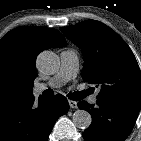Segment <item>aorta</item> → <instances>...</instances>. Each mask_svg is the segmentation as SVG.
Listing matches in <instances>:
<instances>
[{
	"mask_svg": "<svg viewBox=\"0 0 141 141\" xmlns=\"http://www.w3.org/2000/svg\"><path fill=\"white\" fill-rule=\"evenodd\" d=\"M36 64L38 69L46 74L55 73L60 66L59 57L49 50L43 51L38 55ZM72 121L77 128L84 130L91 125L92 117L89 112L78 109L74 112Z\"/></svg>",
	"mask_w": 141,
	"mask_h": 141,
	"instance_id": "762f6f07",
	"label": "aorta"
}]
</instances>
